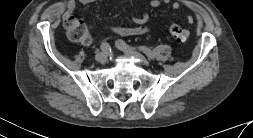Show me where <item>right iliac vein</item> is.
Listing matches in <instances>:
<instances>
[{
	"label": "right iliac vein",
	"instance_id": "1",
	"mask_svg": "<svg viewBox=\"0 0 253 138\" xmlns=\"http://www.w3.org/2000/svg\"><path fill=\"white\" fill-rule=\"evenodd\" d=\"M107 60V54L105 52H100L96 54L95 61L101 64H104Z\"/></svg>",
	"mask_w": 253,
	"mask_h": 138
}]
</instances>
